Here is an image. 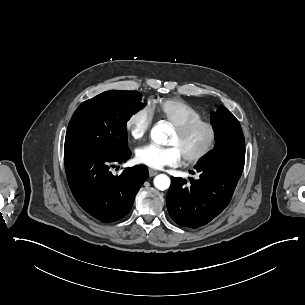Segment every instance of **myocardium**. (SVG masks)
Listing matches in <instances>:
<instances>
[{
  "label": "myocardium",
  "mask_w": 305,
  "mask_h": 305,
  "mask_svg": "<svg viewBox=\"0 0 305 305\" xmlns=\"http://www.w3.org/2000/svg\"><path fill=\"white\" fill-rule=\"evenodd\" d=\"M199 127H206L209 130L210 138L208 143L196 154L183 157L188 164H195L205 160L216 148L219 140L217 125L207 119H198L185 123L174 124V129L180 134H188Z\"/></svg>",
  "instance_id": "obj_1"
}]
</instances>
